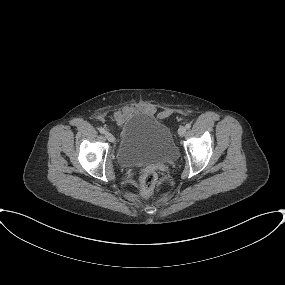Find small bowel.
Returning <instances> with one entry per match:
<instances>
[{
    "label": "small bowel",
    "instance_id": "1",
    "mask_svg": "<svg viewBox=\"0 0 285 285\" xmlns=\"http://www.w3.org/2000/svg\"><path fill=\"white\" fill-rule=\"evenodd\" d=\"M139 110L152 111L153 108L150 105H127L119 109L114 113V120L118 126H123L127 118L134 112Z\"/></svg>",
    "mask_w": 285,
    "mask_h": 285
}]
</instances>
